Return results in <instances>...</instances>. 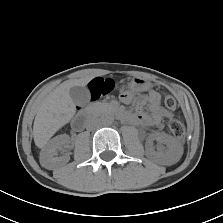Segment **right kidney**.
<instances>
[{
  "label": "right kidney",
  "instance_id": "1",
  "mask_svg": "<svg viewBox=\"0 0 223 223\" xmlns=\"http://www.w3.org/2000/svg\"><path fill=\"white\" fill-rule=\"evenodd\" d=\"M70 138L62 134L53 138L40 153V162L45 168L51 169L58 163H67L70 160L69 154L58 156V151L63 147H69Z\"/></svg>",
  "mask_w": 223,
  "mask_h": 223
}]
</instances>
